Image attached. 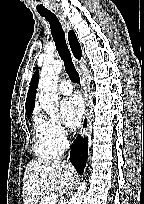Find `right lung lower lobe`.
Returning <instances> with one entry per match:
<instances>
[{"label": "right lung lower lobe", "instance_id": "1", "mask_svg": "<svg viewBox=\"0 0 144 204\" xmlns=\"http://www.w3.org/2000/svg\"><path fill=\"white\" fill-rule=\"evenodd\" d=\"M88 155V141L87 137H78L74 142L70 152V161L79 172L83 174Z\"/></svg>", "mask_w": 144, "mask_h": 204}]
</instances>
